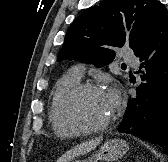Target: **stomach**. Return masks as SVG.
<instances>
[{
  "label": "stomach",
  "instance_id": "0dacf381",
  "mask_svg": "<svg viewBox=\"0 0 168 162\" xmlns=\"http://www.w3.org/2000/svg\"><path fill=\"white\" fill-rule=\"evenodd\" d=\"M129 147L127 143L122 139H111L106 141L99 152L93 155L92 157L85 160H75L72 159L69 162H97L98 160L114 162L120 158H122Z\"/></svg>",
  "mask_w": 168,
  "mask_h": 162
}]
</instances>
